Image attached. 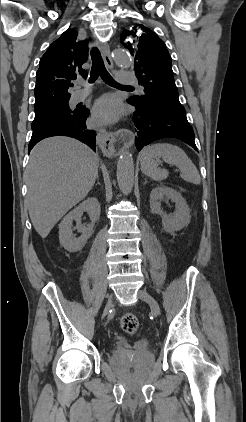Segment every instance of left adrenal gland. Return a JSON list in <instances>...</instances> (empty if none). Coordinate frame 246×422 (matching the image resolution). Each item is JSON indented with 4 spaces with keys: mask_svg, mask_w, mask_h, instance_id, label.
<instances>
[{
    "mask_svg": "<svg viewBox=\"0 0 246 422\" xmlns=\"http://www.w3.org/2000/svg\"><path fill=\"white\" fill-rule=\"evenodd\" d=\"M148 181L145 179L144 185L147 183Z\"/></svg>",
    "mask_w": 246,
    "mask_h": 422,
    "instance_id": "1",
    "label": "left adrenal gland"
}]
</instances>
